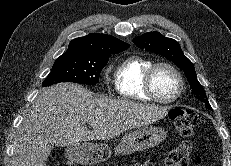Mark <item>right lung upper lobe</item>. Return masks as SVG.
<instances>
[{"label": "right lung upper lobe", "mask_w": 231, "mask_h": 166, "mask_svg": "<svg viewBox=\"0 0 231 166\" xmlns=\"http://www.w3.org/2000/svg\"><path fill=\"white\" fill-rule=\"evenodd\" d=\"M130 47L129 44L107 34L91 33L87 36L73 39L66 53L99 57L116 54Z\"/></svg>", "instance_id": "right-lung-upper-lobe-1"}]
</instances>
